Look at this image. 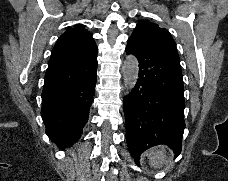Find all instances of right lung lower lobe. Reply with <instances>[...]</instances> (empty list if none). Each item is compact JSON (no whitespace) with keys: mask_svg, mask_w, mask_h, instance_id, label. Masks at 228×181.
<instances>
[{"mask_svg":"<svg viewBox=\"0 0 228 181\" xmlns=\"http://www.w3.org/2000/svg\"><path fill=\"white\" fill-rule=\"evenodd\" d=\"M97 52L96 46L48 65L41 116L47 135L60 149L76 142L88 121L95 93Z\"/></svg>","mask_w":228,"mask_h":181,"instance_id":"right-lung-lower-lobe-1","label":"right lung lower lobe"}]
</instances>
